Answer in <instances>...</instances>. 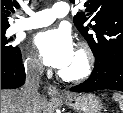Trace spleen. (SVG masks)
Listing matches in <instances>:
<instances>
[{
  "label": "spleen",
  "mask_w": 123,
  "mask_h": 113,
  "mask_svg": "<svg viewBox=\"0 0 123 113\" xmlns=\"http://www.w3.org/2000/svg\"><path fill=\"white\" fill-rule=\"evenodd\" d=\"M114 99L119 102L120 109L123 111V95L119 93H115L113 95Z\"/></svg>",
  "instance_id": "obj_1"
}]
</instances>
